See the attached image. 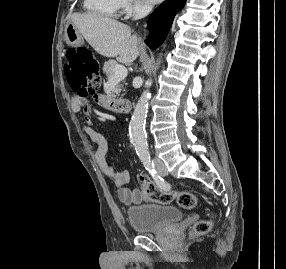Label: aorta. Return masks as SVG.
<instances>
[{
    "instance_id": "obj_1",
    "label": "aorta",
    "mask_w": 286,
    "mask_h": 269,
    "mask_svg": "<svg viewBox=\"0 0 286 269\" xmlns=\"http://www.w3.org/2000/svg\"><path fill=\"white\" fill-rule=\"evenodd\" d=\"M159 64L160 61L158 60L156 63V68L159 67ZM148 84L150 85L151 82L149 81ZM150 97L151 94L149 90L143 91L137 102L129 125V135L131 143L135 147V150L140 157H148L149 155L147 137L145 132V123Z\"/></svg>"
}]
</instances>
